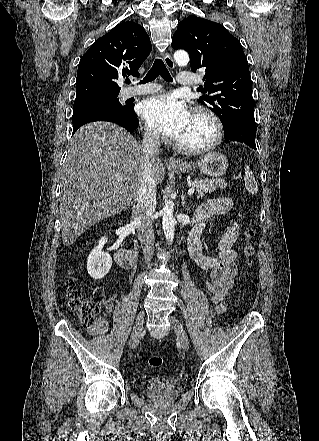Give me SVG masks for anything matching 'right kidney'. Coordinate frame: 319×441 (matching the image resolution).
Here are the masks:
<instances>
[{"label": "right kidney", "instance_id": "obj_1", "mask_svg": "<svg viewBox=\"0 0 319 441\" xmlns=\"http://www.w3.org/2000/svg\"><path fill=\"white\" fill-rule=\"evenodd\" d=\"M108 238L102 237L97 246L91 251L87 259V272L93 279L103 278L112 267V258L110 254L103 251V246Z\"/></svg>", "mask_w": 319, "mask_h": 441}]
</instances>
